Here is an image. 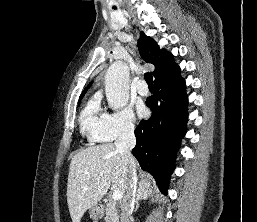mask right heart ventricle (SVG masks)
Instances as JSON below:
<instances>
[{
    "mask_svg": "<svg viewBox=\"0 0 257 222\" xmlns=\"http://www.w3.org/2000/svg\"><path fill=\"white\" fill-rule=\"evenodd\" d=\"M105 114L101 108L99 94L92 96L84 106L79 117L80 131L90 142H102L100 134Z\"/></svg>",
    "mask_w": 257,
    "mask_h": 222,
    "instance_id": "1",
    "label": "right heart ventricle"
}]
</instances>
